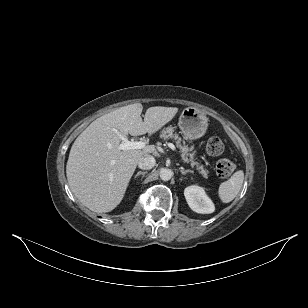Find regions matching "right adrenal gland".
Here are the masks:
<instances>
[{
  "label": "right adrenal gland",
  "mask_w": 308,
  "mask_h": 308,
  "mask_svg": "<svg viewBox=\"0 0 308 308\" xmlns=\"http://www.w3.org/2000/svg\"><path fill=\"white\" fill-rule=\"evenodd\" d=\"M147 174V172L145 171H139L137 172V174L134 176V179H136L138 176L142 175V177H144V175Z\"/></svg>",
  "instance_id": "1"
}]
</instances>
